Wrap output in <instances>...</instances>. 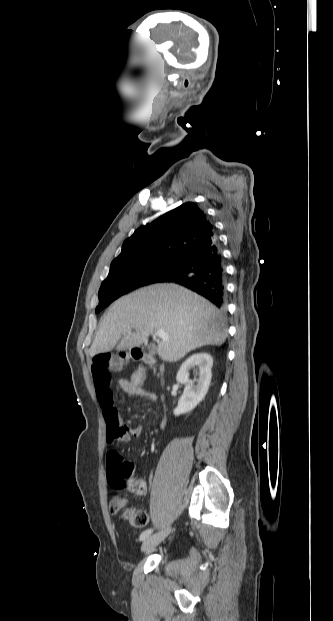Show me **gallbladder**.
I'll return each mask as SVG.
<instances>
[{"mask_svg": "<svg viewBox=\"0 0 333 621\" xmlns=\"http://www.w3.org/2000/svg\"><path fill=\"white\" fill-rule=\"evenodd\" d=\"M147 350H148L150 353H153V352H154V350H155V348H154V346L149 345V346L147 347Z\"/></svg>", "mask_w": 333, "mask_h": 621, "instance_id": "bac80fb5", "label": "gallbladder"}]
</instances>
